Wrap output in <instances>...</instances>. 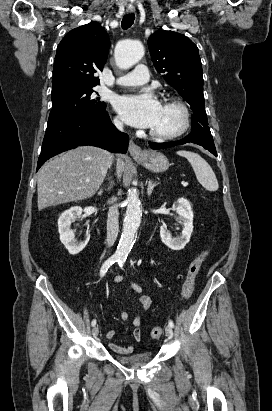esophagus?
I'll return each mask as SVG.
<instances>
[{
	"label": "esophagus",
	"mask_w": 272,
	"mask_h": 411,
	"mask_svg": "<svg viewBox=\"0 0 272 411\" xmlns=\"http://www.w3.org/2000/svg\"><path fill=\"white\" fill-rule=\"evenodd\" d=\"M134 11H135V8L133 6H128L126 8L127 13H134ZM129 152L134 157L143 156L142 149L137 144H135L132 140L129 143Z\"/></svg>",
	"instance_id": "34e87169"
}]
</instances>
